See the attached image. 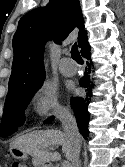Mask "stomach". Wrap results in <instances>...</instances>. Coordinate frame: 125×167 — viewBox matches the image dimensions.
Listing matches in <instances>:
<instances>
[{"instance_id":"obj_1","label":"stomach","mask_w":125,"mask_h":167,"mask_svg":"<svg viewBox=\"0 0 125 167\" xmlns=\"http://www.w3.org/2000/svg\"><path fill=\"white\" fill-rule=\"evenodd\" d=\"M10 152L11 155L18 160H26L28 158V154L19 148L11 147ZM32 163L34 167H52L49 163L36 158H32Z\"/></svg>"}]
</instances>
